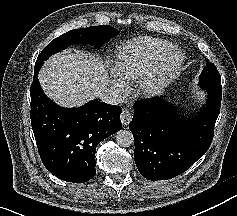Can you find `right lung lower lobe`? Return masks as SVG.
<instances>
[{
	"label": "right lung lower lobe",
	"mask_w": 237,
	"mask_h": 216,
	"mask_svg": "<svg viewBox=\"0 0 237 216\" xmlns=\"http://www.w3.org/2000/svg\"><path fill=\"white\" fill-rule=\"evenodd\" d=\"M34 71L30 89L31 124L44 166L56 177L84 183L96 175L100 141L122 128L119 106L98 100L76 108L57 106L46 97Z\"/></svg>",
	"instance_id": "right-lung-lower-lobe-1"
}]
</instances>
